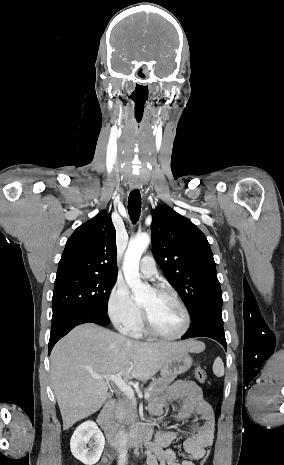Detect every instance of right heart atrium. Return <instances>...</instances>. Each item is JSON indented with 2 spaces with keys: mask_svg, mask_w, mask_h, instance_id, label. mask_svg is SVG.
<instances>
[{
  "mask_svg": "<svg viewBox=\"0 0 284 465\" xmlns=\"http://www.w3.org/2000/svg\"><path fill=\"white\" fill-rule=\"evenodd\" d=\"M106 312L113 324L127 331L141 318L140 308L132 301L125 284L117 282L110 290L106 301Z\"/></svg>",
  "mask_w": 284,
  "mask_h": 465,
  "instance_id": "obj_1",
  "label": "right heart atrium"
}]
</instances>
